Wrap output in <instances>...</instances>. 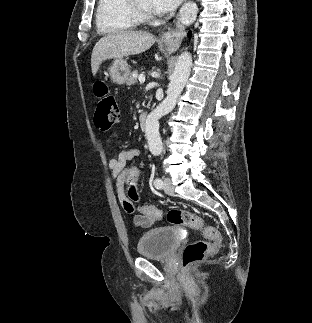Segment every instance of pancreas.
<instances>
[{
    "label": "pancreas",
    "mask_w": 312,
    "mask_h": 323,
    "mask_svg": "<svg viewBox=\"0 0 312 323\" xmlns=\"http://www.w3.org/2000/svg\"><path fill=\"white\" fill-rule=\"evenodd\" d=\"M137 76H138L137 72H131L129 78H127V82H126L127 86H132V84H136Z\"/></svg>",
    "instance_id": "1"
}]
</instances>
